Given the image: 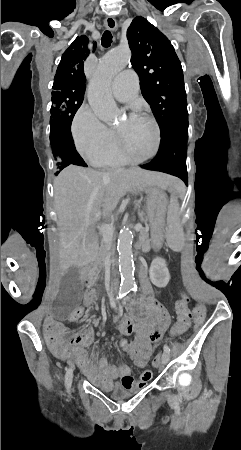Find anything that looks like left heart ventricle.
Instances as JSON below:
<instances>
[{
	"instance_id": "1",
	"label": "left heart ventricle",
	"mask_w": 241,
	"mask_h": 450,
	"mask_svg": "<svg viewBox=\"0 0 241 450\" xmlns=\"http://www.w3.org/2000/svg\"><path fill=\"white\" fill-rule=\"evenodd\" d=\"M154 118L148 113L134 115L132 121H124V143L132 160H150L152 157V140L156 128L152 126ZM78 137V136H77ZM101 151V150H100Z\"/></svg>"
}]
</instances>
